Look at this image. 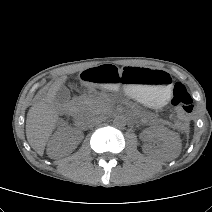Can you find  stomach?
<instances>
[{
  "instance_id": "obj_1",
  "label": "stomach",
  "mask_w": 212,
  "mask_h": 212,
  "mask_svg": "<svg viewBox=\"0 0 212 212\" xmlns=\"http://www.w3.org/2000/svg\"><path fill=\"white\" fill-rule=\"evenodd\" d=\"M81 80L86 85L99 84L107 88L127 93L130 96L158 108L170 97L172 79L163 70L104 63L97 68H84Z\"/></svg>"
}]
</instances>
